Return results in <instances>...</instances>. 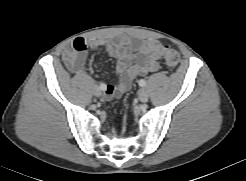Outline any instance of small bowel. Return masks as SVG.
Returning <instances> with one entry per match:
<instances>
[{"label":"small bowel","mask_w":246,"mask_h":181,"mask_svg":"<svg viewBox=\"0 0 246 181\" xmlns=\"http://www.w3.org/2000/svg\"><path fill=\"white\" fill-rule=\"evenodd\" d=\"M103 48L116 60L118 80L115 86L106 85L107 96L120 97L129 90L137 76L146 75L159 69L163 44L157 40H139L119 35L113 40L76 38L72 46L65 50L63 61L73 73H83L88 49Z\"/></svg>","instance_id":"small-bowel-1"}]
</instances>
